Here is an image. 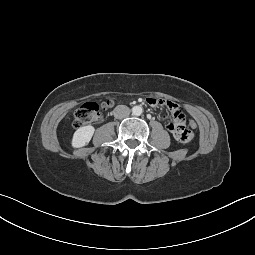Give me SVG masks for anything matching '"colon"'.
Segmentation results:
<instances>
[{
    "mask_svg": "<svg viewBox=\"0 0 255 255\" xmlns=\"http://www.w3.org/2000/svg\"><path fill=\"white\" fill-rule=\"evenodd\" d=\"M111 105V100H106L101 104L95 102H87L82 104L75 112L74 126L81 127L91 123H99L102 120V110L109 108ZM188 126L193 131H196L199 128V125L195 120H190Z\"/></svg>",
    "mask_w": 255,
    "mask_h": 255,
    "instance_id": "5ec220e1",
    "label": "colon"
}]
</instances>
